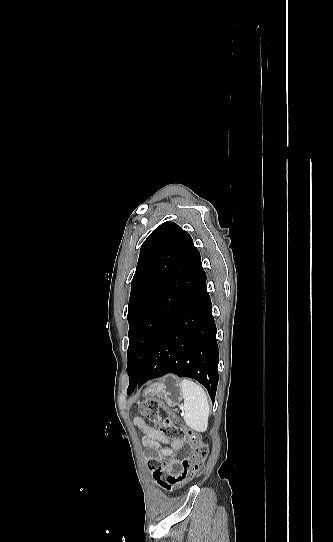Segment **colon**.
<instances>
[{"label": "colon", "instance_id": "obj_1", "mask_svg": "<svg viewBox=\"0 0 333 542\" xmlns=\"http://www.w3.org/2000/svg\"><path fill=\"white\" fill-rule=\"evenodd\" d=\"M160 409V400L153 397L144 400L139 406L140 414L157 425L165 439L184 443L185 450L175 449L173 452L176 461L163 456L148 462V470L156 479L159 488L169 492L175 487L183 486L190 476L201 469L208 455V448L196 432L178 423L171 411L162 416Z\"/></svg>", "mask_w": 333, "mask_h": 542}]
</instances>
